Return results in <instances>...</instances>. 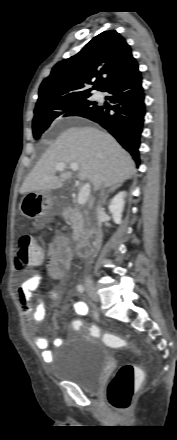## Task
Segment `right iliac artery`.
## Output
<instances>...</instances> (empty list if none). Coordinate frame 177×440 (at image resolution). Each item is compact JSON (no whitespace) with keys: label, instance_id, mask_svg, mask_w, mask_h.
Here are the masks:
<instances>
[{"label":"right iliac artery","instance_id":"obj_1","mask_svg":"<svg viewBox=\"0 0 177 440\" xmlns=\"http://www.w3.org/2000/svg\"><path fill=\"white\" fill-rule=\"evenodd\" d=\"M77 290H78L80 293H83L85 289H84L83 285H78V286H77ZM95 318L98 320V314H97V313H95Z\"/></svg>","mask_w":177,"mask_h":440}]
</instances>
